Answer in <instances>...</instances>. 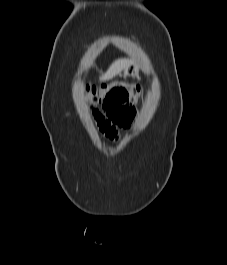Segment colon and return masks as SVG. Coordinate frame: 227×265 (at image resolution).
I'll list each match as a JSON object with an SVG mask.
<instances>
[{"label":"colon","mask_w":227,"mask_h":265,"mask_svg":"<svg viewBox=\"0 0 227 265\" xmlns=\"http://www.w3.org/2000/svg\"><path fill=\"white\" fill-rule=\"evenodd\" d=\"M141 93L140 87L124 82L103 83L85 88L89 104L97 102L98 109H103L104 116H107V120H111V125L116 128L126 127L131 123L134 103Z\"/></svg>","instance_id":"1"}]
</instances>
